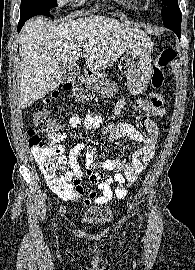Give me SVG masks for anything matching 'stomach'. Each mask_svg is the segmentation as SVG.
<instances>
[{
  "instance_id": "0dacf381",
  "label": "stomach",
  "mask_w": 195,
  "mask_h": 270,
  "mask_svg": "<svg viewBox=\"0 0 195 270\" xmlns=\"http://www.w3.org/2000/svg\"><path fill=\"white\" fill-rule=\"evenodd\" d=\"M153 42L148 36L137 37L133 40V47L126 51V85L132 94L141 93L151 77V53ZM91 88L102 97L113 96L118 87L115 82L94 72L89 78Z\"/></svg>"
}]
</instances>
